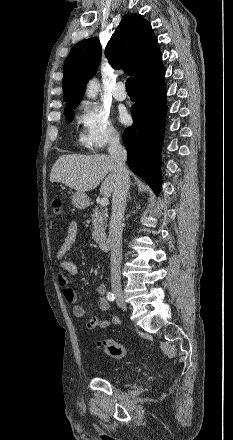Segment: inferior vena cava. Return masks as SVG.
<instances>
[{
	"label": "inferior vena cava",
	"instance_id": "obj_1",
	"mask_svg": "<svg viewBox=\"0 0 233 440\" xmlns=\"http://www.w3.org/2000/svg\"><path fill=\"white\" fill-rule=\"evenodd\" d=\"M108 152L114 160L117 178L112 193V215L109 227L111 283L120 284V266L122 261V220L126 207V197L130 187L125 162L127 152L120 143L119 135H114L108 146Z\"/></svg>",
	"mask_w": 233,
	"mask_h": 440
}]
</instances>
